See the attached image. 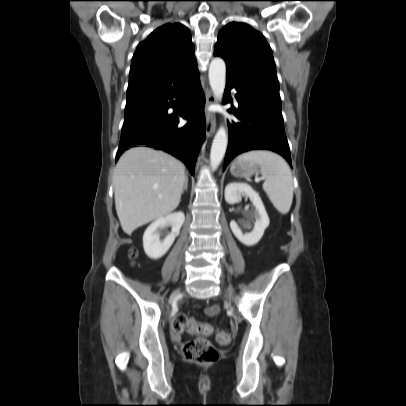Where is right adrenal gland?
<instances>
[{
	"mask_svg": "<svg viewBox=\"0 0 406 406\" xmlns=\"http://www.w3.org/2000/svg\"><path fill=\"white\" fill-rule=\"evenodd\" d=\"M187 188H188V176L186 175L185 176L184 186H183V189H182V194L184 193L185 190H187Z\"/></svg>",
	"mask_w": 406,
	"mask_h": 406,
	"instance_id": "1",
	"label": "right adrenal gland"
}]
</instances>
